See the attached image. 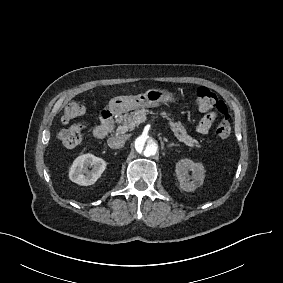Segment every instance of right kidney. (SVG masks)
Returning a JSON list of instances; mask_svg holds the SVG:
<instances>
[{"label":"right kidney","instance_id":"1","mask_svg":"<svg viewBox=\"0 0 283 283\" xmlns=\"http://www.w3.org/2000/svg\"><path fill=\"white\" fill-rule=\"evenodd\" d=\"M106 162L92 154L78 157L69 172L70 179L83 186L94 184L106 169ZM92 167V170L88 168Z\"/></svg>","mask_w":283,"mask_h":283}]
</instances>
